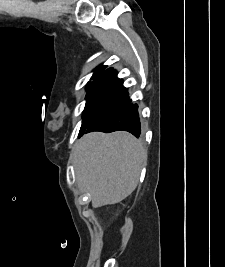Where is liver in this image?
I'll return each mask as SVG.
<instances>
[{
    "label": "liver",
    "mask_w": 225,
    "mask_h": 267,
    "mask_svg": "<svg viewBox=\"0 0 225 267\" xmlns=\"http://www.w3.org/2000/svg\"><path fill=\"white\" fill-rule=\"evenodd\" d=\"M146 159L143 144L124 131L86 134L73 151L79 189L89 195L93 208L128 197L138 185Z\"/></svg>",
    "instance_id": "6515ba94"
}]
</instances>
